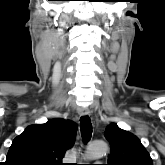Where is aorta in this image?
I'll return each mask as SVG.
<instances>
[{
  "mask_svg": "<svg viewBox=\"0 0 165 165\" xmlns=\"http://www.w3.org/2000/svg\"><path fill=\"white\" fill-rule=\"evenodd\" d=\"M107 150L108 147L105 142H93L87 147L85 158L89 160L101 158L106 154Z\"/></svg>",
  "mask_w": 165,
  "mask_h": 165,
  "instance_id": "aorta-1",
  "label": "aorta"
}]
</instances>
